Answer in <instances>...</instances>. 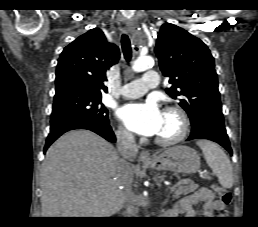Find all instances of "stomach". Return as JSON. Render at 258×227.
Instances as JSON below:
<instances>
[{"label": "stomach", "mask_w": 258, "mask_h": 227, "mask_svg": "<svg viewBox=\"0 0 258 227\" xmlns=\"http://www.w3.org/2000/svg\"><path fill=\"white\" fill-rule=\"evenodd\" d=\"M199 154L188 146L178 145L162 151L148 163L155 170L190 174L200 168Z\"/></svg>", "instance_id": "obj_1"}]
</instances>
